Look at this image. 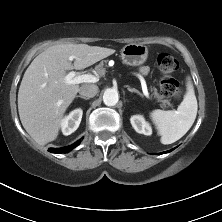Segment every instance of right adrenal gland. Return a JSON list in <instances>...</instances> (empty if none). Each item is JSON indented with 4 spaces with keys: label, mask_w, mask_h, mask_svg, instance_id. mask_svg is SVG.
Masks as SVG:
<instances>
[{
    "label": "right adrenal gland",
    "mask_w": 222,
    "mask_h": 222,
    "mask_svg": "<svg viewBox=\"0 0 222 222\" xmlns=\"http://www.w3.org/2000/svg\"><path fill=\"white\" fill-rule=\"evenodd\" d=\"M76 98H82L84 100H88L89 99V98H86V97H83V96H80V95L76 96Z\"/></svg>",
    "instance_id": "1"
}]
</instances>
